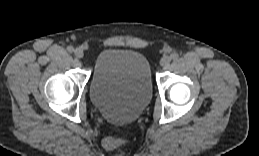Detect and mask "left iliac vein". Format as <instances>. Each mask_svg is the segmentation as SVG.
Here are the masks:
<instances>
[{
    "label": "left iliac vein",
    "mask_w": 259,
    "mask_h": 156,
    "mask_svg": "<svg viewBox=\"0 0 259 156\" xmlns=\"http://www.w3.org/2000/svg\"><path fill=\"white\" fill-rule=\"evenodd\" d=\"M171 61V57L170 56H164L161 60H160V65L161 66H167Z\"/></svg>",
    "instance_id": "obj_1"
}]
</instances>
